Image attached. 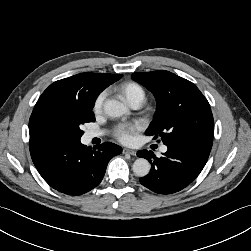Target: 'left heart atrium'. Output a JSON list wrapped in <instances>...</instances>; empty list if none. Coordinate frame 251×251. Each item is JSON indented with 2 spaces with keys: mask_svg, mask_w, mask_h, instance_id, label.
<instances>
[{
  "mask_svg": "<svg viewBox=\"0 0 251 251\" xmlns=\"http://www.w3.org/2000/svg\"><path fill=\"white\" fill-rule=\"evenodd\" d=\"M140 129L137 124H119L114 128V136L123 143H130L134 133Z\"/></svg>",
  "mask_w": 251,
  "mask_h": 251,
  "instance_id": "left-heart-atrium-1",
  "label": "left heart atrium"
}]
</instances>
